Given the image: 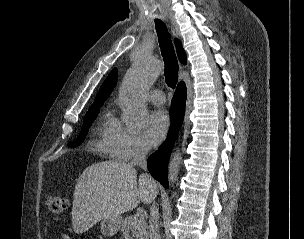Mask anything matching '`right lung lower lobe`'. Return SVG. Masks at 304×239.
Returning a JSON list of instances; mask_svg holds the SVG:
<instances>
[{
    "label": "right lung lower lobe",
    "instance_id": "right-lung-lower-lobe-1",
    "mask_svg": "<svg viewBox=\"0 0 304 239\" xmlns=\"http://www.w3.org/2000/svg\"><path fill=\"white\" fill-rule=\"evenodd\" d=\"M186 86L180 82L176 88L171 103L170 118L172 122L168 138L159 149L153 153L147 161V167L151 175L165 188H168V161L175 142V138L182 125L185 112Z\"/></svg>",
    "mask_w": 304,
    "mask_h": 239
}]
</instances>
